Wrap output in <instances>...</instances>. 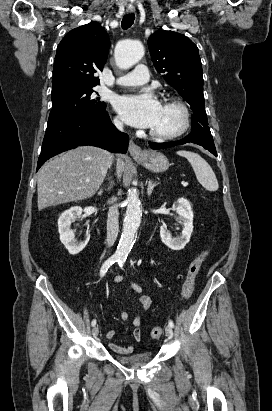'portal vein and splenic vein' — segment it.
Instances as JSON below:
<instances>
[{"instance_id": "18ae733b", "label": "portal vein and splenic vein", "mask_w": 272, "mask_h": 411, "mask_svg": "<svg viewBox=\"0 0 272 411\" xmlns=\"http://www.w3.org/2000/svg\"><path fill=\"white\" fill-rule=\"evenodd\" d=\"M182 185H183L184 187H186V186H188V182H182Z\"/></svg>"}]
</instances>
